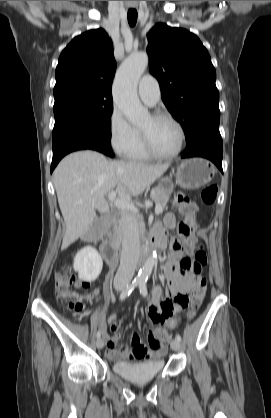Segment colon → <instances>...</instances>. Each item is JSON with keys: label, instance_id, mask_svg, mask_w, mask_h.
Returning a JSON list of instances; mask_svg holds the SVG:
<instances>
[{"label": "colon", "instance_id": "obj_1", "mask_svg": "<svg viewBox=\"0 0 271 418\" xmlns=\"http://www.w3.org/2000/svg\"><path fill=\"white\" fill-rule=\"evenodd\" d=\"M217 193L218 188L216 185L206 186L201 192L202 201L208 205L213 204L217 198ZM174 202L179 213L184 217V220L179 226V231L187 241H190L196 226L195 216L198 210L197 204L184 193H178L175 196ZM173 247L175 250L181 249L178 243H174ZM206 262L207 257L201 246L198 247L193 258L184 257L180 261L182 273H189L198 279L193 304L195 308L199 305L205 292L206 280L200 277V273ZM73 281V277L68 273L63 272L58 274L56 277V296L70 310L75 313H80L84 308V304L80 295L71 288Z\"/></svg>", "mask_w": 271, "mask_h": 418}]
</instances>
